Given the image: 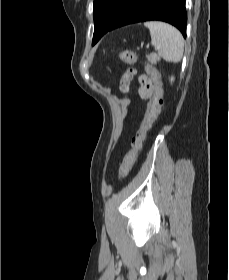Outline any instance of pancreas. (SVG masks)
Instances as JSON below:
<instances>
[{"mask_svg": "<svg viewBox=\"0 0 229 280\" xmlns=\"http://www.w3.org/2000/svg\"><path fill=\"white\" fill-rule=\"evenodd\" d=\"M146 58L151 64H156L157 62L160 61V58L155 53H151L149 55H146Z\"/></svg>", "mask_w": 229, "mask_h": 280, "instance_id": "cf45deb5", "label": "pancreas"}]
</instances>
